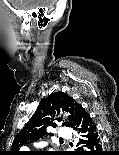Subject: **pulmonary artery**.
Segmentation results:
<instances>
[{"mask_svg":"<svg viewBox=\"0 0 119 155\" xmlns=\"http://www.w3.org/2000/svg\"><path fill=\"white\" fill-rule=\"evenodd\" d=\"M58 135L59 137H61L62 139H67L71 136L70 131L67 128H60L58 130Z\"/></svg>","mask_w":119,"mask_h":155,"instance_id":"pulmonary-artery-1","label":"pulmonary artery"}]
</instances>
